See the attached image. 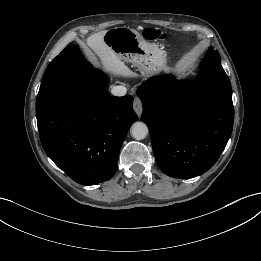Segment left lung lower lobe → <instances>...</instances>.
Returning <instances> with one entry per match:
<instances>
[{"label":"left lung lower lobe","mask_w":261,"mask_h":261,"mask_svg":"<svg viewBox=\"0 0 261 261\" xmlns=\"http://www.w3.org/2000/svg\"><path fill=\"white\" fill-rule=\"evenodd\" d=\"M194 82L171 75L149 78L137 89L156 163L171 177L190 178L209 170L233 128L229 78L215 60H203Z\"/></svg>","instance_id":"obj_1"}]
</instances>
